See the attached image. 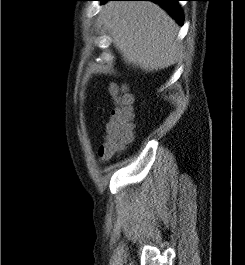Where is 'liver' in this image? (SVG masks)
<instances>
[{
    "label": "liver",
    "instance_id": "liver-1",
    "mask_svg": "<svg viewBox=\"0 0 245 265\" xmlns=\"http://www.w3.org/2000/svg\"><path fill=\"white\" fill-rule=\"evenodd\" d=\"M100 18L128 65L153 72L181 57L179 26L155 3L110 1L102 7Z\"/></svg>",
    "mask_w": 245,
    "mask_h": 265
}]
</instances>
